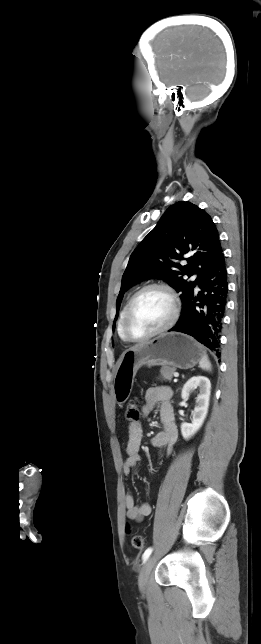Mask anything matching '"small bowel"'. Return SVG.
I'll return each instance as SVG.
<instances>
[{
	"mask_svg": "<svg viewBox=\"0 0 261 644\" xmlns=\"http://www.w3.org/2000/svg\"><path fill=\"white\" fill-rule=\"evenodd\" d=\"M172 391L166 386L149 388L145 393L142 413L147 416L158 405L163 430L151 438V445L155 448L165 447L170 455L178 442L179 432L174 422V409L170 402ZM143 437L141 422L130 423L128 426V441L126 445V458L123 463V473L129 475L132 469L140 462L139 450ZM125 508L127 518L141 521L151 513V506L147 502L136 504L131 493L125 495Z\"/></svg>",
	"mask_w": 261,
	"mask_h": 644,
	"instance_id": "1",
	"label": "small bowel"
}]
</instances>
